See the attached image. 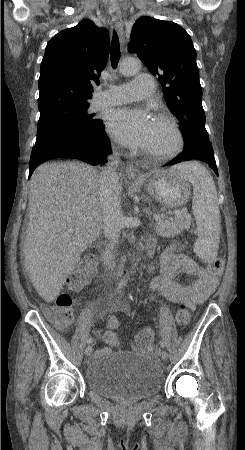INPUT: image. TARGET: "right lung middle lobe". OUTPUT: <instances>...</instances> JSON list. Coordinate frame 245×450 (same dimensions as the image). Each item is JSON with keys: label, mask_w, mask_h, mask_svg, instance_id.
I'll use <instances>...</instances> for the list:
<instances>
[{"label": "right lung middle lobe", "mask_w": 245, "mask_h": 450, "mask_svg": "<svg viewBox=\"0 0 245 450\" xmlns=\"http://www.w3.org/2000/svg\"><path fill=\"white\" fill-rule=\"evenodd\" d=\"M89 104H55L40 110L37 139L33 151H40L67 140L91 138L100 119L88 112Z\"/></svg>", "instance_id": "right-lung-middle-lobe-1"}]
</instances>
